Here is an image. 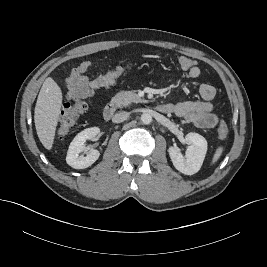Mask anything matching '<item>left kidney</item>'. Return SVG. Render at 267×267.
<instances>
[{"label": "left kidney", "instance_id": "obj_1", "mask_svg": "<svg viewBox=\"0 0 267 267\" xmlns=\"http://www.w3.org/2000/svg\"><path fill=\"white\" fill-rule=\"evenodd\" d=\"M189 146L185 156L174 147H169L168 152L174 167L185 175L197 173L204 161L207 152V141L198 133L190 132L185 136Z\"/></svg>", "mask_w": 267, "mask_h": 267}]
</instances>
